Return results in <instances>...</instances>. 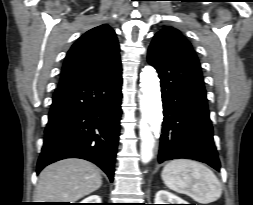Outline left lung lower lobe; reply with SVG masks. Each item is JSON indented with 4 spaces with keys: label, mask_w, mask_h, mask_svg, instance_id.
Here are the masks:
<instances>
[{
    "label": "left lung lower lobe",
    "mask_w": 253,
    "mask_h": 205,
    "mask_svg": "<svg viewBox=\"0 0 253 205\" xmlns=\"http://www.w3.org/2000/svg\"><path fill=\"white\" fill-rule=\"evenodd\" d=\"M161 85L163 115L158 162L187 158L219 170L206 90L192 47L168 34H156L148 50Z\"/></svg>",
    "instance_id": "0a47b994"
}]
</instances>
